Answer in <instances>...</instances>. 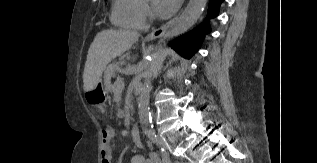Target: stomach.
<instances>
[{
    "label": "stomach",
    "mask_w": 317,
    "mask_h": 163,
    "mask_svg": "<svg viewBox=\"0 0 317 163\" xmlns=\"http://www.w3.org/2000/svg\"><path fill=\"white\" fill-rule=\"evenodd\" d=\"M86 101L92 106H103L108 100L104 84L100 81L92 90L86 92Z\"/></svg>",
    "instance_id": "1"
}]
</instances>
